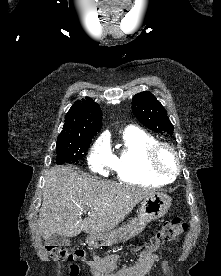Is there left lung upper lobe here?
I'll use <instances>...</instances> for the list:
<instances>
[{
    "mask_svg": "<svg viewBox=\"0 0 221 276\" xmlns=\"http://www.w3.org/2000/svg\"><path fill=\"white\" fill-rule=\"evenodd\" d=\"M132 110L136 118L150 130L172 135L174 127L167 117V111L152 93L136 94L132 99Z\"/></svg>",
    "mask_w": 221,
    "mask_h": 276,
    "instance_id": "left-lung-upper-lobe-1",
    "label": "left lung upper lobe"
}]
</instances>
